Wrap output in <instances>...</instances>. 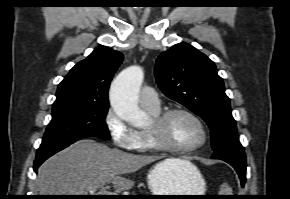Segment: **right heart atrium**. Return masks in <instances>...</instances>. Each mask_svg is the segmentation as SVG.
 I'll list each match as a JSON object with an SVG mask.
<instances>
[{"instance_id":"right-heart-atrium-1","label":"right heart atrium","mask_w":290,"mask_h":199,"mask_svg":"<svg viewBox=\"0 0 290 199\" xmlns=\"http://www.w3.org/2000/svg\"><path fill=\"white\" fill-rule=\"evenodd\" d=\"M106 126L114 145L123 150H135L138 145V133L126 123L114 109L110 108L105 117Z\"/></svg>"}]
</instances>
